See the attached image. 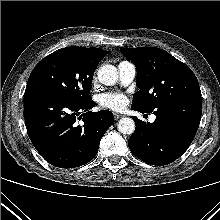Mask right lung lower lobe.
I'll use <instances>...</instances> for the list:
<instances>
[{"mask_svg": "<svg viewBox=\"0 0 220 220\" xmlns=\"http://www.w3.org/2000/svg\"><path fill=\"white\" fill-rule=\"evenodd\" d=\"M95 102L88 98L73 102L63 96L30 91L24 94V114L27 132L39 154L60 168H75L91 161L99 143L114 121L107 110L89 111ZM83 125H77L76 117Z\"/></svg>", "mask_w": 220, "mask_h": 220, "instance_id": "98d812e1", "label": "right lung lower lobe"}]
</instances>
